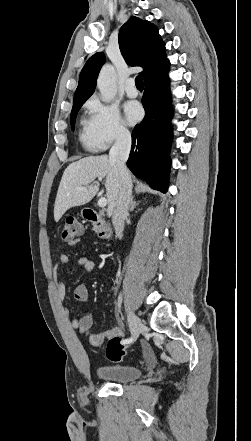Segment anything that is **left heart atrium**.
Segmentation results:
<instances>
[{"instance_id":"left-heart-atrium-1","label":"left heart atrium","mask_w":251,"mask_h":441,"mask_svg":"<svg viewBox=\"0 0 251 441\" xmlns=\"http://www.w3.org/2000/svg\"><path fill=\"white\" fill-rule=\"evenodd\" d=\"M124 112L127 121L130 124L137 123L143 115V110L141 105L136 101H129L124 105Z\"/></svg>"}]
</instances>
